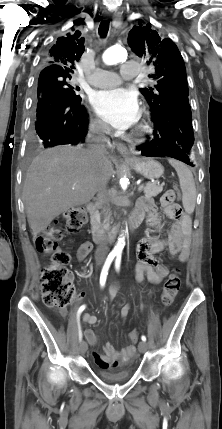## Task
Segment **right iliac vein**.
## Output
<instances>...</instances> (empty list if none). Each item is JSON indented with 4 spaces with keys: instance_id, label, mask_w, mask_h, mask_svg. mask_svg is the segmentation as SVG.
Returning <instances> with one entry per match:
<instances>
[{
    "instance_id": "1",
    "label": "right iliac vein",
    "mask_w": 222,
    "mask_h": 429,
    "mask_svg": "<svg viewBox=\"0 0 222 429\" xmlns=\"http://www.w3.org/2000/svg\"><path fill=\"white\" fill-rule=\"evenodd\" d=\"M87 349H88L87 343L84 340L81 341L80 344H79V351H80V353L81 354H85L86 351H87Z\"/></svg>"
}]
</instances>
